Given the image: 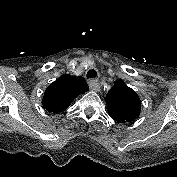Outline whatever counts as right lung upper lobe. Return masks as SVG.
Here are the masks:
<instances>
[{
	"label": "right lung upper lobe",
	"mask_w": 177,
	"mask_h": 177,
	"mask_svg": "<svg viewBox=\"0 0 177 177\" xmlns=\"http://www.w3.org/2000/svg\"><path fill=\"white\" fill-rule=\"evenodd\" d=\"M85 90V85L79 81L62 76L46 88L42 104L50 112H62Z\"/></svg>",
	"instance_id": "right-lung-upper-lobe-1"
}]
</instances>
